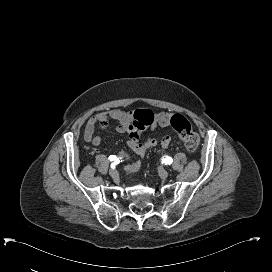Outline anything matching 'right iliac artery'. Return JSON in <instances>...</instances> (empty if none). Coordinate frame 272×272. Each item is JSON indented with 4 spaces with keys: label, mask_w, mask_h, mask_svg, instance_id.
Segmentation results:
<instances>
[{
    "label": "right iliac artery",
    "mask_w": 272,
    "mask_h": 272,
    "mask_svg": "<svg viewBox=\"0 0 272 272\" xmlns=\"http://www.w3.org/2000/svg\"><path fill=\"white\" fill-rule=\"evenodd\" d=\"M109 160H110V161H113V163L111 164V168H112V169H115V166L120 162V161H119V158L116 157L115 155H111V156L109 157Z\"/></svg>",
    "instance_id": "82829eb1"
}]
</instances>
